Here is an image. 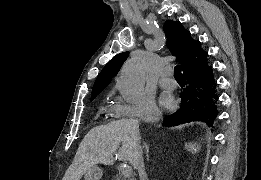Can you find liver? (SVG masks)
I'll list each match as a JSON object with an SVG mask.
<instances>
[{"label":"liver","mask_w":261,"mask_h":180,"mask_svg":"<svg viewBox=\"0 0 261 180\" xmlns=\"http://www.w3.org/2000/svg\"><path fill=\"white\" fill-rule=\"evenodd\" d=\"M140 140L137 120H113L106 126L92 128L76 152L69 168V180H81L86 170L95 164L112 166L116 154L120 162L131 164L141 148Z\"/></svg>","instance_id":"liver-1"}]
</instances>
